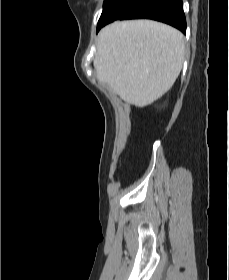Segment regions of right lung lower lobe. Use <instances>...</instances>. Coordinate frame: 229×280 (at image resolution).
Here are the masks:
<instances>
[{
	"label": "right lung lower lobe",
	"instance_id": "98d812e1",
	"mask_svg": "<svg viewBox=\"0 0 229 280\" xmlns=\"http://www.w3.org/2000/svg\"><path fill=\"white\" fill-rule=\"evenodd\" d=\"M153 19L186 33L182 0H116L97 31L114 20Z\"/></svg>",
	"mask_w": 229,
	"mask_h": 280
}]
</instances>
